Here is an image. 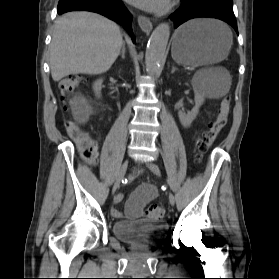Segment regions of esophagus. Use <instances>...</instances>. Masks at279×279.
<instances>
[{
	"mask_svg": "<svg viewBox=\"0 0 279 279\" xmlns=\"http://www.w3.org/2000/svg\"><path fill=\"white\" fill-rule=\"evenodd\" d=\"M137 20L142 31L145 33L151 32L153 25L148 17L140 15Z\"/></svg>",
	"mask_w": 279,
	"mask_h": 279,
	"instance_id": "1",
	"label": "esophagus"
}]
</instances>
